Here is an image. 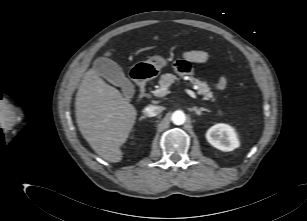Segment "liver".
Segmentation results:
<instances>
[{
  "label": "liver",
  "instance_id": "1",
  "mask_svg": "<svg viewBox=\"0 0 307 221\" xmlns=\"http://www.w3.org/2000/svg\"><path fill=\"white\" fill-rule=\"evenodd\" d=\"M110 51L106 56H110ZM76 121L91 148L104 160H122L120 147L127 141L137 117L136 108L107 84L94 69L86 72L76 94Z\"/></svg>",
  "mask_w": 307,
  "mask_h": 221
}]
</instances>
